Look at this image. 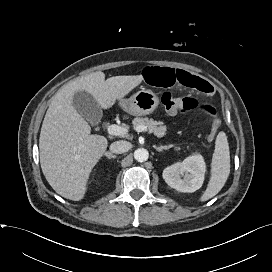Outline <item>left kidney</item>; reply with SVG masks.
Returning <instances> with one entry per match:
<instances>
[{
    "label": "left kidney",
    "mask_w": 272,
    "mask_h": 272,
    "mask_svg": "<svg viewBox=\"0 0 272 272\" xmlns=\"http://www.w3.org/2000/svg\"><path fill=\"white\" fill-rule=\"evenodd\" d=\"M205 172L206 164L202 155L195 154L165 168L163 179L177 191L192 193L201 188Z\"/></svg>",
    "instance_id": "obj_1"
}]
</instances>
